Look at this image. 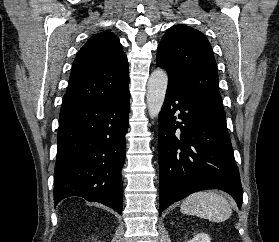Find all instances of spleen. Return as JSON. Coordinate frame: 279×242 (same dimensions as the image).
<instances>
[{
  "instance_id": "spleen-1",
  "label": "spleen",
  "mask_w": 279,
  "mask_h": 242,
  "mask_svg": "<svg viewBox=\"0 0 279 242\" xmlns=\"http://www.w3.org/2000/svg\"><path fill=\"white\" fill-rule=\"evenodd\" d=\"M180 211L213 222L225 221L232 215L228 201L213 191H199L189 195L181 204Z\"/></svg>"
}]
</instances>
